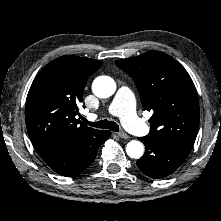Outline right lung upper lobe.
I'll return each mask as SVG.
<instances>
[{
    "mask_svg": "<svg viewBox=\"0 0 221 221\" xmlns=\"http://www.w3.org/2000/svg\"><path fill=\"white\" fill-rule=\"evenodd\" d=\"M101 66V61L62 56L38 73L25 108V122L33 144L79 139L99 131L81 123L77 115L85 84Z\"/></svg>",
    "mask_w": 221,
    "mask_h": 221,
    "instance_id": "obj_1",
    "label": "right lung upper lobe"
}]
</instances>
